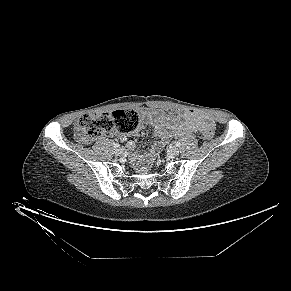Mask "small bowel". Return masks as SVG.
<instances>
[{
	"label": "small bowel",
	"instance_id": "c3829d8e",
	"mask_svg": "<svg viewBox=\"0 0 291 291\" xmlns=\"http://www.w3.org/2000/svg\"><path fill=\"white\" fill-rule=\"evenodd\" d=\"M141 113L144 122L154 129L156 135L160 137V141L152 146L145 156L135 154L134 159L139 161L152 160L158 149L171 137L182 136L197 130L202 131L203 128L212 124L208 118L194 111L168 115L158 109L145 108ZM133 146V143L128 144L129 149H132Z\"/></svg>",
	"mask_w": 291,
	"mask_h": 291
}]
</instances>
